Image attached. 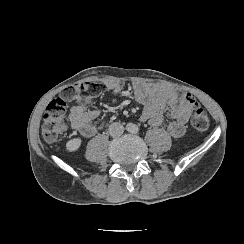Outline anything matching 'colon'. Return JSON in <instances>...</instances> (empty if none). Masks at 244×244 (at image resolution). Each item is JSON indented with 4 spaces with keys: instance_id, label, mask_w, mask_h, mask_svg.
Returning <instances> with one entry per match:
<instances>
[{
    "instance_id": "obj_1",
    "label": "colon",
    "mask_w": 244,
    "mask_h": 244,
    "mask_svg": "<svg viewBox=\"0 0 244 244\" xmlns=\"http://www.w3.org/2000/svg\"><path fill=\"white\" fill-rule=\"evenodd\" d=\"M103 92V85L94 83L92 85L71 86L63 91V97H56L46 107L42 117L41 134L47 141H57L68 128L65 114L68 108L67 100L72 95H77L84 100H95ZM65 98V99H64ZM185 103L193 105L191 124L198 131H205L209 128L210 120L205 109L197 105L193 98L186 97Z\"/></svg>"
}]
</instances>
